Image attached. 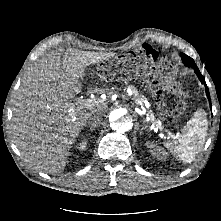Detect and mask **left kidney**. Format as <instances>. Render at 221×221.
Instances as JSON below:
<instances>
[{"instance_id": "1", "label": "left kidney", "mask_w": 221, "mask_h": 221, "mask_svg": "<svg viewBox=\"0 0 221 221\" xmlns=\"http://www.w3.org/2000/svg\"><path fill=\"white\" fill-rule=\"evenodd\" d=\"M146 146L149 148L150 153L153 156L157 157L158 159H165L166 158V153L161 147L157 146L154 143H147Z\"/></svg>"}]
</instances>
